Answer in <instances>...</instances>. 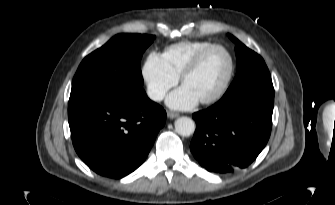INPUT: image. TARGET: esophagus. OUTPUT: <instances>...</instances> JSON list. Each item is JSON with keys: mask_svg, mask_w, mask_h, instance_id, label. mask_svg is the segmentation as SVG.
Here are the masks:
<instances>
[{"mask_svg": "<svg viewBox=\"0 0 335 205\" xmlns=\"http://www.w3.org/2000/svg\"><path fill=\"white\" fill-rule=\"evenodd\" d=\"M178 116H179L178 113L171 112V111H168V112H167V117L170 118V119L177 118Z\"/></svg>", "mask_w": 335, "mask_h": 205, "instance_id": "1", "label": "esophagus"}]
</instances>
